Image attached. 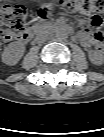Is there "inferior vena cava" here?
Wrapping results in <instances>:
<instances>
[{
    "label": "inferior vena cava",
    "mask_w": 104,
    "mask_h": 137,
    "mask_svg": "<svg viewBox=\"0 0 104 137\" xmlns=\"http://www.w3.org/2000/svg\"><path fill=\"white\" fill-rule=\"evenodd\" d=\"M39 41H40V43L45 44V43H47L48 38H47V36L42 35V36H40Z\"/></svg>",
    "instance_id": "1"
}]
</instances>
